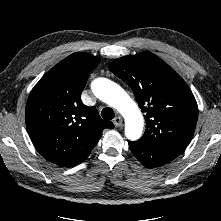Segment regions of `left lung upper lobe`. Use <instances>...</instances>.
Here are the masks:
<instances>
[{
  "mask_svg": "<svg viewBox=\"0 0 221 221\" xmlns=\"http://www.w3.org/2000/svg\"><path fill=\"white\" fill-rule=\"evenodd\" d=\"M109 70L133 91L145 114L141 140L174 155L190 143L198 118L196 100L183 79L150 52L114 60Z\"/></svg>",
  "mask_w": 221,
  "mask_h": 221,
  "instance_id": "1",
  "label": "left lung upper lobe"
}]
</instances>
